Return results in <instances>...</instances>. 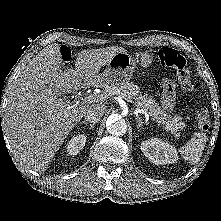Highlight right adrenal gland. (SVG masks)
Segmentation results:
<instances>
[{"label":"right adrenal gland","mask_w":221,"mask_h":221,"mask_svg":"<svg viewBox=\"0 0 221 221\" xmlns=\"http://www.w3.org/2000/svg\"><path fill=\"white\" fill-rule=\"evenodd\" d=\"M81 123L90 126V129L94 128V126H95L94 123L91 124V123H88L87 121H82Z\"/></svg>","instance_id":"2a0ac1e0"}]
</instances>
